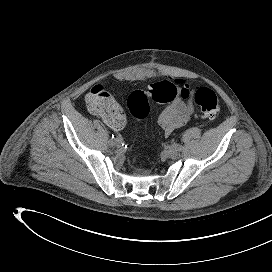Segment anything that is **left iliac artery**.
<instances>
[{
    "label": "left iliac artery",
    "mask_w": 272,
    "mask_h": 272,
    "mask_svg": "<svg viewBox=\"0 0 272 272\" xmlns=\"http://www.w3.org/2000/svg\"><path fill=\"white\" fill-rule=\"evenodd\" d=\"M174 149L178 152H181L183 150V147L180 144L175 143L174 144Z\"/></svg>",
    "instance_id": "1"
}]
</instances>
